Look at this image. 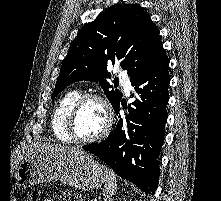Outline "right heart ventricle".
<instances>
[{"mask_svg":"<svg viewBox=\"0 0 221 201\" xmlns=\"http://www.w3.org/2000/svg\"><path fill=\"white\" fill-rule=\"evenodd\" d=\"M81 95L82 92L79 89H73L66 92L60 98L53 111L51 119L52 130L56 138L61 141L72 142L66 129V122L71 107Z\"/></svg>","mask_w":221,"mask_h":201,"instance_id":"e07e8e85","label":"right heart ventricle"}]
</instances>
